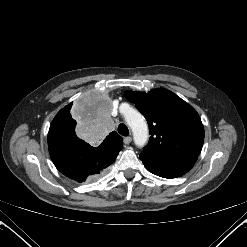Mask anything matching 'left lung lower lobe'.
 Segmentation results:
<instances>
[{
    "mask_svg": "<svg viewBox=\"0 0 247 247\" xmlns=\"http://www.w3.org/2000/svg\"><path fill=\"white\" fill-rule=\"evenodd\" d=\"M144 166L153 174L163 178H175L188 172L197 160V156L165 157L142 152Z\"/></svg>",
    "mask_w": 247,
    "mask_h": 247,
    "instance_id": "0a47b994",
    "label": "left lung lower lobe"
}]
</instances>
